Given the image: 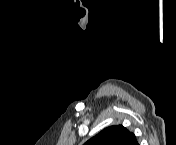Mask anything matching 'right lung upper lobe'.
Listing matches in <instances>:
<instances>
[{"instance_id":"obj_1","label":"right lung upper lobe","mask_w":176,"mask_h":145,"mask_svg":"<svg viewBox=\"0 0 176 145\" xmlns=\"http://www.w3.org/2000/svg\"><path fill=\"white\" fill-rule=\"evenodd\" d=\"M85 145H138L136 137L122 125L105 128Z\"/></svg>"}]
</instances>
